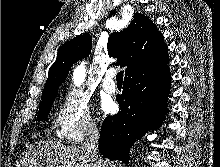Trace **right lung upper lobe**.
Listing matches in <instances>:
<instances>
[{"instance_id":"1","label":"right lung upper lobe","mask_w":220,"mask_h":167,"mask_svg":"<svg viewBox=\"0 0 220 167\" xmlns=\"http://www.w3.org/2000/svg\"><path fill=\"white\" fill-rule=\"evenodd\" d=\"M107 48L111 57L118 58L117 65L127 67L125 76L168 61V48L163 35L141 13H135L130 25L123 31L110 35ZM90 49L91 38L88 33L74 37L59 48L56 61L48 72L42 100L57 93L56 90L66 79L70 67L86 57Z\"/></svg>"}]
</instances>
